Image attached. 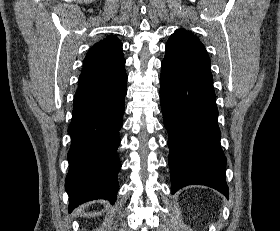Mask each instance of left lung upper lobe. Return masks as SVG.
<instances>
[{
	"instance_id": "obj_1",
	"label": "left lung upper lobe",
	"mask_w": 280,
	"mask_h": 231,
	"mask_svg": "<svg viewBox=\"0 0 280 231\" xmlns=\"http://www.w3.org/2000/svg\"><path fill=\"white\" fill-rule=\"evenodd\" d=\"M162 66L178 78H211L210 58L199 39L184 29L177 30L166 43Z\"/></svg>"
}]
</instances>
